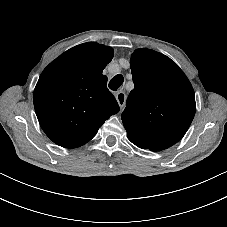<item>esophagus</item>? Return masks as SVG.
Returning <instances> with one entry per match:
<instances>
[{"mask_svg":"<svg viewBox=\"0 0 227 227\" xmlns=\"http://www.w3.org/2000/svg\"><path fill=\"white\" fill-rule=\"evenodd\" d=\"M116 100H117L120 108L123 109V107L125 106V103H126V94L123 91H119L116 94Z\"/></svg>","mask_w":227,"mask_h":227,"instance_id":"34e87169","label":"esophagus"}]
</instances>
